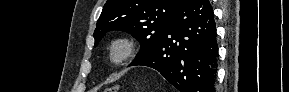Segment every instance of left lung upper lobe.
<instances>
[{
	"mask_svg": "<svg viewBox=\"0 0 289 92\" xmlns=\"http://www.w3.org/2000/svg\"><path fill=\"white\" fill-rule=\"evenodd\" d=\"M184 0H107L94 31L95 47L111 30L130 33L141 43L135 60L151 54ZM133 61V62H134Z\"/></svg>",
	"mask_w": 289,
	"mask_h": 92,
	"instance_id": "1",
	"label": "left lung upper lobe"
}]
</instances>
